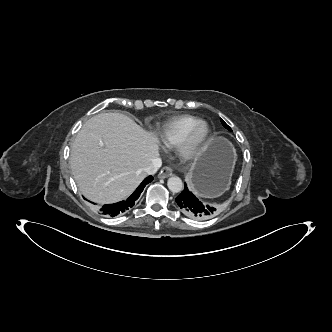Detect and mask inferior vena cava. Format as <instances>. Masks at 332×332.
I'll list each match as a JSON object with an SVG mask.
<instances>
[{"label":"inferior vena cava","mask_w":332,"mask_h":332,"mask_svg":"<svg viewBox=\"0 0 332 332\" xmlns=\"http://www.w3.org/2000/svg\"><path fill=\"white\" fill-rule=\"evenodd\" d=\"M162 165V160L160 157H155L149 166H147L144 171L147 175L155 174Z\"/></svg>","instance_id":"1"}]
</instances>
